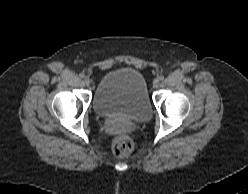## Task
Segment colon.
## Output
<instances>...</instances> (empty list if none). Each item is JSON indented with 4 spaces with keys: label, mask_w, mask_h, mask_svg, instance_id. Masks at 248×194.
I'll list each match as a JSON object with an SVG mask.
<instances>
[{
    "label": "colon",
    "mask_w": 248,
    "mask_h": 194,
    "mask_svg": "<svg viewBox=\"0 0 248 194\" xmlns=\"http://www.w3.org/2000/svg\"><path fill=\"white\" fill-rule=\"evenodd\" d=\"M132 140L127 136H119L113 142V152L117 156H127L133 151Z\"/></svg>",
    "instance_id": "5ec220e1"
}]
</instances>
